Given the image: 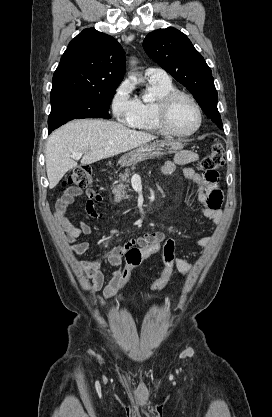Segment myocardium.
<instances>
[{
	"label": "myocardium",
	"mask_w": 272,
	"mask_h": 417,
	"mask_svg": "<svg viewBox=\"0 0 272 417\" xmlns=\"http://www.w3.org/2000/svg\"><path fill=\"white\" fill-rule=\"evenodd\" d=\"M182 98L187 99L193 104L198 115L196 126L189 132L176 131L170 124V113L173 105L176 103V101ZM156 118L160 128L165 133L175 137H189L194 135L200 129L203 122V112L200 104L192 95L184 91L174 90L159 100L156 107Z\"/></svg>",
	"instance_id": "myocardium-1"
}]
</instances>
